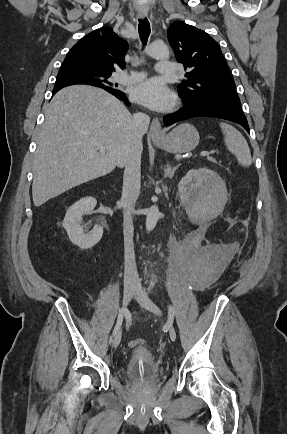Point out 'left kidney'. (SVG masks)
<instances>
[{
    "label": "left kidney",
    "mask_w": 287,
    "mask_h": 434,
    "mask_svg": "<svg viewBox=\"0 0 287 434\" xmlns=\"http://www.w3.org/2000/svg\"><path fill=\"white\" fill-rule=\"evenodd\" d=\"M181 201L192 208L213 210L212 218L219 214L227 202V189L223 179L207 168L191 169L178 184Z\"/></svg>",
    "instance_id": "1"
}]
</instances>
